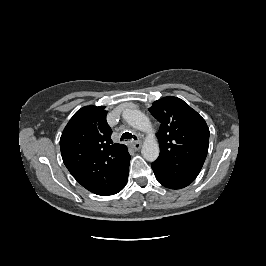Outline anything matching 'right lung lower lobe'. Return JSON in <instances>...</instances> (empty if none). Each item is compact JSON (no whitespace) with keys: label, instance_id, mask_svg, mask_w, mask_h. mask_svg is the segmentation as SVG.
<instances>
[{"label":"right lung lower lobe","instance_id":"98d812e1","mask_svg":"<svg viewBox=\"0 0 266 266\" xmlns=\"http://www.w3.org/2000/svg\"><path fill=\"white\" fill-rule=\"evenodd\" d=\"M127 178H128V174H127V176L124 178V180L121 182V184L119 185V187H118V189H117V191L115 192V193H118L119 191H121L124 187H125V185H126V183H127ZM114 193V194H115Z\"/></svg>","mask_w":266,"mask_h":266}]
</instances>
